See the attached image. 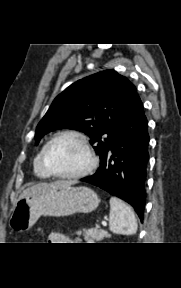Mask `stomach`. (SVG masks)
Segmentation results:
<instances>
[{"label":"stomach","mask_w":181,"mask_h":288,"mask_svg":"<svg viewBox=\"0 0 181 288\" xmlns=\"http://www.w3.org/2000/svg\"><path fill=\"white\" fill-rule=\"evenodd\" d=\"M97 194L90 188L54 184L48 189L20 198L9 219L12 230H29L41 215L63 217L90 213L99 205Z\"/></svg>","instance_id":"1"}]
</instances>
